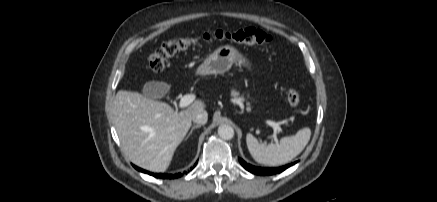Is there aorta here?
<instances>
[{"mask_svg":"<svg viewBox=\"0 0 437 202\" xmlns=\"http://www.w3.org/2000/svg\"><path fill=\"white\" fill-rule=\"evenodd\" d=\"M218 135L224 140H231L234 137V129L228 124L220 125Z\"/></svg>","mask_w":437,"mask_h":202,"instance_id":"1","label":"aorta"}]
</instances>
